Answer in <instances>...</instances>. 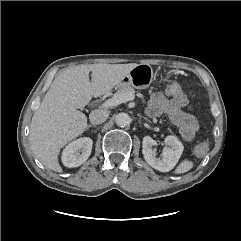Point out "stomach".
Instances as JSON below:
<instances>
[{"label": "stomach", "instance_id": "obj_1", "mask_svg": "<svg viewBox=\"0 0 241 241\" xmlns=\"http://www.w3.org/2000/svg\"><path fill=\"white\" fill-rule=\"evenodd\" d=\"M172 72H167L170 75ZM154 79L153 69L149 64H138L118 83L119 87L131 85L137 89H145Z\"/></svg>", "mask_w": 241, "mask_h": 241}]
</instances>
